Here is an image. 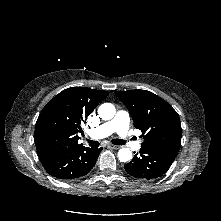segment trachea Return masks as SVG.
<instances>
[{"label": "trachea", "instance_id": "3493384b", "mask_svg": "<svg viewBox=\"0 0 221 221\" xmlns=\"http://www.w3.org/2000/svg\"><path fill=\"white\" fill-rule=\"evenodd\" d=\"M88 142H89V145L91 147H98L99 146V142L98 141H91V140H89ZM112 143L115 144V145H124L125 144V142L122 139H113Z\"/></svg>", "mask_w": 221, "mask_h": 221}]
</instances>
